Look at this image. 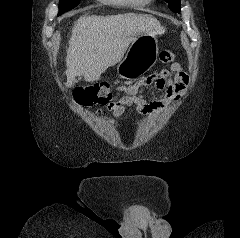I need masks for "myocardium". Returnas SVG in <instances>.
I'll return each instance as SVG.
<instances>
[{"label":"myocardium","instance_id":"1","mask_svg":"<svg viewBox=\"0 0 240 238\" xmlns=\"http://www.w3.org/2000/svg\"><path fill=\"white\" fill-rule=\"evenodd\" d=\"M127 1L130 2V3H133V0H127ZM151 1H153V0H146V3H149Z\"/></svg>","mask_w":240,"mask_h":238}]
</instances>
